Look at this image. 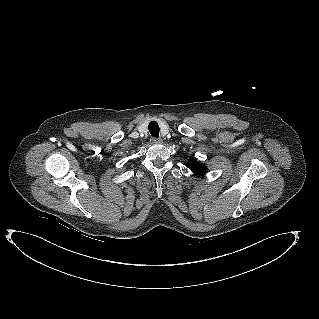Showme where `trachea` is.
Masks as SVG:
<instances>
[{"instance_id":"trachea-1","label":"trachea","mask_w":319,"mask_h":319,"mask_svg":"<svg viewBox=\"0 0 319 319\" xmlns=\"http://www.w3.org/2000/svg\"><path fill=\"white\" fill-rule=\"evenodd\" d=\"M148 130H149L151 136L158 138V136H159V125L155 121H152V122L149 123Z\"/></svg>"}]
</instances>
